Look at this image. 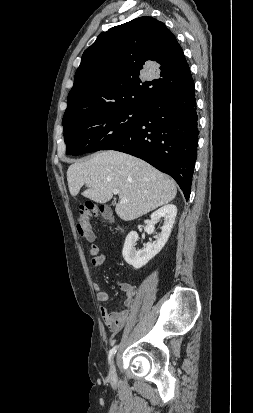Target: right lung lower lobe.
<instances>
[{"label": "right lung lower lobe", "mask_w": 253, "mask_h": 413, "mask_svg": "<svg viewBox=\"0 0 253 413\" xmlns=\"http://www.w3.org/2000/svg\"><path fill=\"white\" fill-rule=\"evenodd\" d=\"M197 121L192 79L183 89L145 104L138 125L103 150H117L145 160L173 177L188 200L197 158Z\"/></svg>", "instance_id": "right-lung-lower-lobe-1"}]
</instances>
